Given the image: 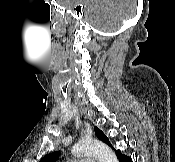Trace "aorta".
<instances>
[{
	"label": "aorta",
	"instance_id": "obj_1",
	"mask_svg": "<svg viewBox=\"0 0 175 162\" xmlns=\"http://www.w3.org/2000/svg\"><path fill=\"white\" fill-rule=\"evenodd\" d=\"M75 156H93L99 162H118L115 153L99 140H82L76 143L71 150Z\"/></svg>",
	"mask_w": 175,
	"mask_h": 162
}]
</instances>
